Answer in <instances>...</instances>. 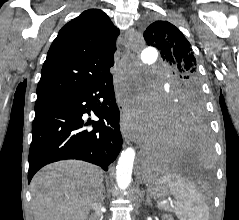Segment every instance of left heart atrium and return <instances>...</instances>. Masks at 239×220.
<instances>
[{
    "instance_id": "1",
    "label": "left heart atrium",
    "mask_w": 239,
    "mask_h": 220,
    "mask_svg": "<svg viewBox=\"0 0 239 220\" xmlns=\"http://www.w3.org/2000/svg\"><path fill=\"white\" fill-rule=\"evenodd\" d=\"M129 122L131 127H135L139 124V119L136 115L132 114V116L129 119Z\"/></svg>"
}]
</instances>
